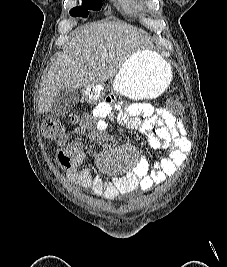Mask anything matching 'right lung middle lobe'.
Returning a JSON list of instances; mask_svg holds the SVG:
<instances>
[{"mask_svg": "<svg viewBox=\"0 0 227 267\" xmlns=\"http://www.w3.org/2000/svg\"><path fill=\"white\" fill-rule=\"evenodd\" d=\"M102 7V0H83L82 6L74 7L70 10V15L73 17H87L88 10L98 11Z\"/></svg>", "mask_w": 227, "mask_h": 267, "instance_id": "obj_1", "label": "right lung middle lobe"}]
</instances>
